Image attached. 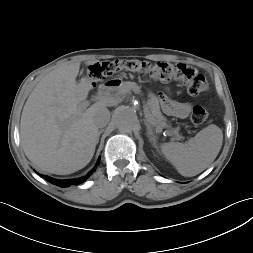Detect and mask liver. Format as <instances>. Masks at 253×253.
<instances>
[{"label":"liver","mask_w":253,"mask_h":253,"mask_svg":"<svg viewBox=\"0 0 253 253\" xmlns=\"http://www.w3.org/2000/svg\"><path fill=\"white\" fill-rule=\"evenodd\" d=\"M96 60L86 61L87 66ZM80 62H67L46 74L30 93L21 115L20 139L27 158L43 171L66 175L84 168L92 159L99 130L94 118L109 106L101 98L86 110L79 105L92 89L81 78Z\"/></svg>","instance_id":"liver-1"}]
</instances>
